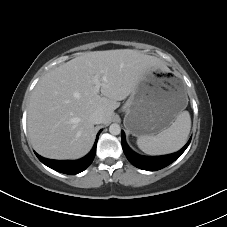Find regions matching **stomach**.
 Listing matches in <instances>:
<instances>
[{"label":"stomach","instance_id":"stomach-1","mask_svg":"<svg viewBox=\"0 0 227 227\" xmlns=\"http://www.w3.org/2000/svg\"><path fill=\"white\" fill-rule=\"evenodd\" d=\"M150 69L139 80L123 106L124 126L136 137L167 129L188 103L180 80Z\"/></svg>","mask_w":227,"mask_h":227}]
</instances>
